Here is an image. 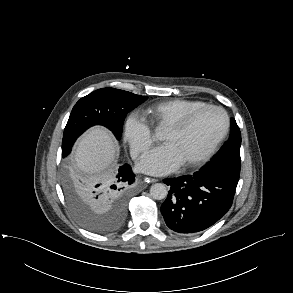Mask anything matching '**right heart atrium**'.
Segmentation results:
<instances>
[{"label": "right heart atrium", "instance_id": "1", "mask_svg": "<svg viewBox=\"0 0 293 293\" xmlns=\"http://www.w3.org/2000/svg\"><path fill=\"white\" fill-rule=\"evenodd\" d=\"M122 135L134 158L146 152L155 142L150 123L138 112H130L126 116Z\"/></svg>", "mask_w": 293, "mask_h": 293}]
</instances>
